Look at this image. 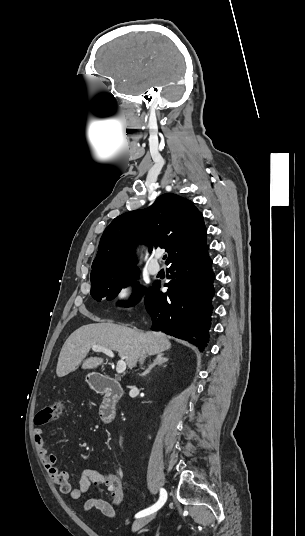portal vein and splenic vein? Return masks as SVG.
Listing matches in <instances>:
<instances>
[{
  "label": "portal vein and splenic vein",
  "mask_w": 305,
  "mask_h": 536,
  "mask_svg": "<svg viewBox=\"0 0 305 536\" xmlns=\"http://www.w3.org/2000/svg\"><path fill=\"white\" fill-rule=\"evenodd\" d=\"M92 350L93 352H103V354H106V356H109V358H114V354L112 350H108V348H104V346H92ZM125 370H126V362H124V360H119L116 366L117 374H123Z\"/></svg>",
  "instance_id": "obj_1"
}]
</instances>
